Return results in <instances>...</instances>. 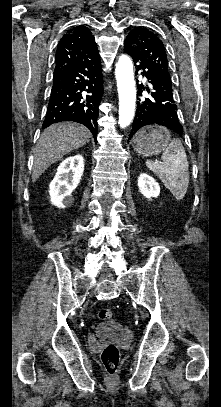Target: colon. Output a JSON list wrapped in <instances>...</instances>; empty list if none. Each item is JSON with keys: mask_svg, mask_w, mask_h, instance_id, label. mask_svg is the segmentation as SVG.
I'll list each match as a JSON object with an SVG mask.
<instances>
[{"mask_svg": "<svg viewBox=\"0 0 221 407\" xmlns=\"http://www.w3.org/2000/svg\"><path fill=\"white\" fill-rule=\"evenodd\" d=\"M97 318L100 321H108L112 318V312L109 308H100L97 311ZM101 361L106 373L114 376L119 365V350L115 344L106 345L101 352Z\"/></svg>", "mask_w": 221, "mask_h": 407, "instance_id": "obj_1", "label": "colon"}]
</instances>
